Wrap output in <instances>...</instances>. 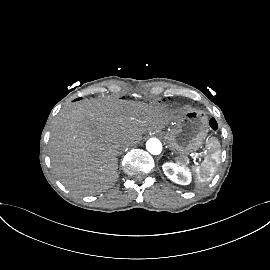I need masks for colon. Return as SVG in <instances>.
Instances as JSON below:
<instances>
[{
  "label": "colon",
  "mask_w": 270,
  "mask_h": 270,
  "mask_svg": "<svg viewBox=\"0 0 270 270\" xmlns=\"http://www.w3.org/2000/svg\"><path fill=\"white\" fill-rule=\"evenodd\" d=\"M209 125H210L211 130H213V131L217 130V128H218L217 122L213 119L210 120Z\"/></svg>",
  "instance_id": "1"
}]
</instances>
